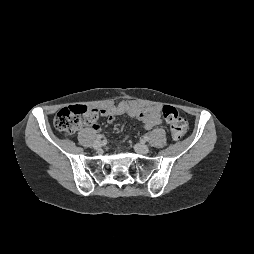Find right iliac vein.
I'll list each match as a JSON object with an SVG mask.
<instances>
[{"instance_id":"right-iliac-vein-1","label":"right iliac vein","mask_w":254,"mask_h":254,"mask_svg":"<svg viewBox=\"0 0 254 254\" xmlns=\"http://www.w3.org/2000/svg\"><path fill=\"white\" fill-rule=\"evenodd\" d=\"M102 147V142L100 140H97L95 143H94V148L95 149H100Z\"/></svg>"}]
</instances>
